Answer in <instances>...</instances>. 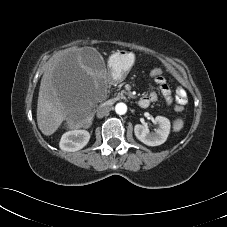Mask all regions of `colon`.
<instances>
[{"label":"colon","mask_w":227,"mask_h":227,"mask_svg":"<svg viewBox=\"0 0 227 227\" xmlns=\"http://www.w3.org/2000/svg\"><path fill=\"white\" fill-rule=\"evenodd\" d=\"M161 74H162V69L160 67H155V68L151 69L150 72H149V76L153 79L157 78ZM175 110L178 111V112H181L183 110V107L182 106H176Z\"/></svg>","instance_id":"5ec220e1"}]
</instances>
